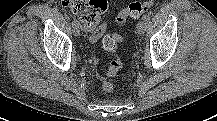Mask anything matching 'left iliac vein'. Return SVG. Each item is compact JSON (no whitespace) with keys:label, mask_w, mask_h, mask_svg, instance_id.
<instances>
[{"label":"left iliac vein","mask_w":217,"mask_h":121,"mask_svg":"<svg viewBox=\"0 0 217 121\" xmlns=\"http://www.w3.org/2000/svg\"><path fill=\"white\" fill-rule=\"evenodd\" d=\"M146 27H147L146 21H144V20L139 21L137 24V32L139 34H143L146 31Z\"/></svg>","instance_id":"1"}]
</instances>
